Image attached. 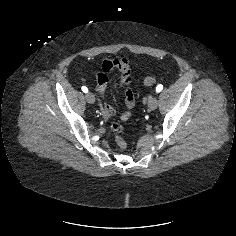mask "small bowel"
Instances as JSON below:
<instances>
[{"mask_svg": "<svg viewBox=\"0 0 236 236\" xmlns=\"http://www.w3.org/2000/svg\"><path fill=\"white\" fill-rule=\"evenodd\" d=\"M120 72L121 77L119 82L125 87V105L126 110L121 113V120L127 121L130 118L131 110L135 105V99L132 90L130 89V84L134 80V73L130 64V61L125 58L119 59H106L102 63V69L96 75L97 81V91L101 99V110L104 120H109L115 114L114 108L107 103L105 99V91L108 86L109 76L114 72Z\"/></svg>", "mask_w": 236, "mask_h": 236, "instance_id": "small-bowel-1", "label": "small bowel"}]
</instances>
